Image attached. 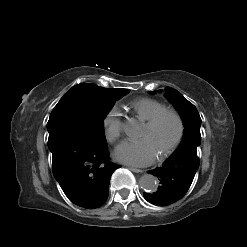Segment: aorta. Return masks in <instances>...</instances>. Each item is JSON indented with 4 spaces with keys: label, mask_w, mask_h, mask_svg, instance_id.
<instances>
[{
    "label": "aorta",
    "mask_w": 247,
    "mask_h": 247,
    "mask_svg": "<svg viewBox=\"0 0 247 247\" xmlns=\"http://www.w3.org/2000/svg\"><path fill=\"white\" fill-rule=\"evenodd\" d=\"M123 130L127 136L135 137L140 131V125L136 120H130L123 125ZM140 186L144 191L153 193L157 191L158 180L154 175L145 174L140 179Z\"/></svg>",
    "instance_id": "obj_1"
}]
</instances>
